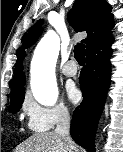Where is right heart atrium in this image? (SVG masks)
<instances>
[{"label": "right heart atrium", "mask_w": 123, "mask_h": 152, "mask_svg": "<svg viewBox=\"0 0 123 152\" xmlns=\"http://www.w3.org/2000/svg\"><path fill=\"white\" fill-rule=\"evenodd\" d=\"M23 110L27 117V125L34 132H46L59 123L69 120L70 109L62 104L52 107H45L31 98H27L23 105Z\"/></svg>", "instance_id": "1"}]
</instances>
